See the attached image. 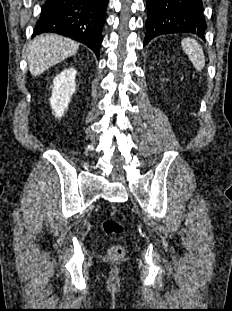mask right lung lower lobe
Instances as JSON below:
<instances>
[{
    "mask_svg": "<svg viewBox=\"0 0 232 311\" xmlns=\"http://www.w3.org/2000/svg\"><path fill=\"white\" fill-rule=\"evenodd\" d=\"M108 0H46L33 36L52 32L91 48L97 57Z\"/></svg>",
    "mask_w": 232,
    "mask_h": 311,
    "instance_id": "right-lung-lower-lobe-1",
    "label": "right lung lower lobe"
}]
</instances>
